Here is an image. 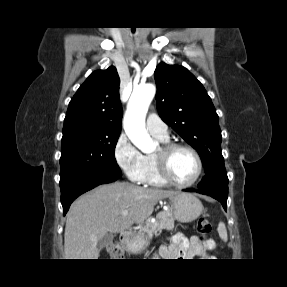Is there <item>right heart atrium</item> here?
<instances>
[{
  "label": "right heart atrium",
  "mask_w": 287,
  "mask_h": 287,
  "mask_svg": "<svg viewBox=\"0 0 287 287\" xmlns=\"http://www.w3.org/2000/svg\"><path fill=\"white\" fill-rule=\"evenodd\" d=\"M116 163L133 182L141 183L144 171V155L135 147L126 134L118 137L114 146Z\"/></svg>",
  "instance_id": "d8ad5b80"
}]
</instances>
